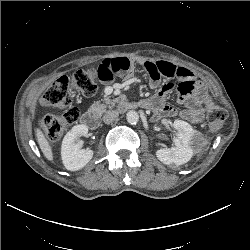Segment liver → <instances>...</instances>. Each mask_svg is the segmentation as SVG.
<instances>
[{"label": "liver", "instance_id": "obj_1", "mask_svg": "<svg viewBox=\"0 0 250 250\" xmlns=\"http://www.w3.org/2000/svg\"><path fill=\"white\" fill-rule=\"evenodd\" d=\"M36 137H37V142L39 144V147L44 154V156L47 158L49 161H53V152L52 148L46 139L45 135L43 132L40 130V128H36Z\"/></svg>", "mask_w": 250, "mask_h": 250}]
</instances>
